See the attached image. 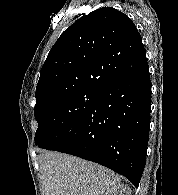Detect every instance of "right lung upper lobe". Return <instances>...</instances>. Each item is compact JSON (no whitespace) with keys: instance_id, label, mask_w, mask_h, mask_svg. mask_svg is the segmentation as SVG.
Wrapping results in <instances>:
<instances>
[{"instance_id":"cb5924a9","label":"right lung upper lobe","mask_w":178,"mask_h":195,"mask_svg":"<svg viewBox=\"0 0 178 195\" xmlns=\"http://www.w3.org/2000/svg\"><path fill=\"white\" fill-rule=\"evenodd\" d=\"M147 64L141 35L132 20L100 8L77 20L51 48L36 86V105L77 90H99Z\"/></svg>"}]
</instances>
